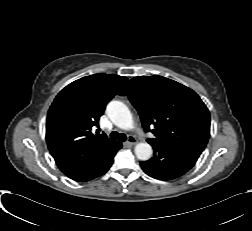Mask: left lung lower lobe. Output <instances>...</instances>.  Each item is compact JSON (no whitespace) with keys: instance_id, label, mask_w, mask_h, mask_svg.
Masks as SVG:
<instances>
[{"instance_id":"1","label":"left lung lower lobe","mask_w":252,"mask_h":231,"mask_svg":"<svg viewBox=\"0 0 252 231\" xmlns=\"http://www.w3.org/2000/svg\"><path fill=\"white\" fill-rule=\"evenodd\" d=\"M154 156L141 162L142 169L151 177L159 180H170L182 176L198 160L202 150L176 144H151Z\"/></svg>"}]
</instances>
